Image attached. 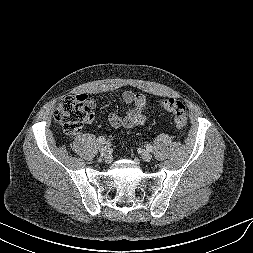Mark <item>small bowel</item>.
Wrapping results in <instances>:
<instances>
[{"instance_id": "1", "label": "small bowel", "mask_w": 253, "mask_h": 253, "mask_svg": "<svg viewBox=\"0 0 253 253\" xmlns=\"http://www.w3.org/2000/svg\"><path fill=\"white\" fill-rule=\"evenodd\" d=\"M82 96H85L87 98L91 108L96 105V102L93 98H90L87 95ZM122 99L126 104L132 105V108L126 113L124 117H121L116 113H110L108 115L109 124L113 128H133L144 124L146 121V97L141 93L125 91L122 94Z\"/></svg>"}]
</instances>
